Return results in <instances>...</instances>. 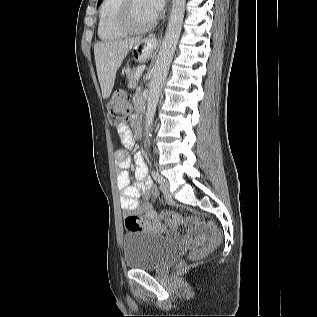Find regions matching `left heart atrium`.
<instances>
[{
    "mask_svg": "<svg viewBox=\"0 0 317 317\" xmlns=\"http://www.w3.org/2000/svg\"><path fill=\"white\" fill-rule=\"evenodd\" d=\"M154 18H156L165 5V0H146Z\"/></svg>",
    "mask_w": 317,
    "mask_h": 317,
    "instance_id": "left-heart-atrium-1",
    "label": "left heart atrium"
}]
</instances>
